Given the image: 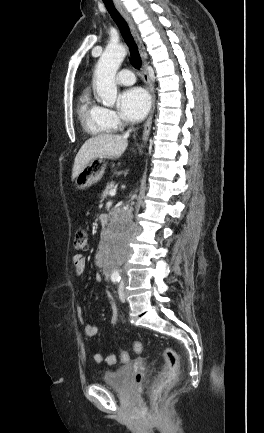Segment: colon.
<instances>
[{
    "mask_svg": "<svg viewBox=\"0 0 264 433\" xmlns=\"http://www.w3.org/2000/svg\"><path fill=\"white\" fill-rule=\"evenodd\" d=\"M89 247L88 234L84 229H79L74 238V249L77 251H86ZM133 350L136 353H141L142 344L138 341L133 343ZM162 354L164 358V368L159 377V385L161 387L172 386L179 373V358L174 349L171 347H164L162 349ZM120 359L123 363L128 362L129 354L127 352H122L120 354Z\"/></svg>",
    "mask_w": 264,
    "mask_h": 433,
    "instance_id": "1",
    "label": "colon"
}]
</instances>
